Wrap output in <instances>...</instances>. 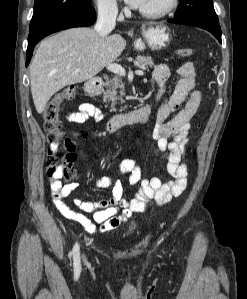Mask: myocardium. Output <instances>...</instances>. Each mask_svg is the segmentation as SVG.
<instances>
[{"mask_svg":"<svg viewBox=\"0 0 247 299\" xmlns=\"http://www.w3.org/2000/svg\"><path fill=\"white\" fill-rule=\"evenodd\" d=\"M178 3V0H167L165 5L159 9L156 10H143L140 9V14L148 19H159L166 15H168L170 12L173 11V9L176 7Z\"/></svg>","mask_w":247,"mask_h":299,"instance_id":"1","label":"myocardium"}]
</instances>
